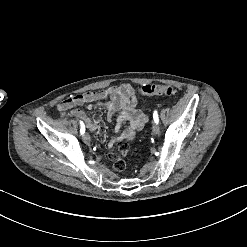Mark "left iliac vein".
Instances as JSON below:
<instances>
[{
    "label": "left iliac vein",
    "instance_id": "obj_1",
    "mask_svg": "<svg viewBox=\"0 0 247 247\" xmlns=\"http://www.w3.org/2000/svg\"><path fill=\"white\" fill-rule=\"evenodd\" d=\"M152 131L155 136L160 135V127L157 123H153Z\"/></svg>",
    "mask_w": 247,
    "mask_h": 247
}]
</instances>
